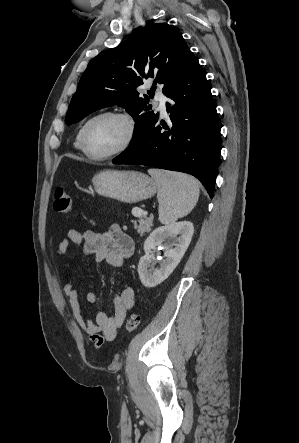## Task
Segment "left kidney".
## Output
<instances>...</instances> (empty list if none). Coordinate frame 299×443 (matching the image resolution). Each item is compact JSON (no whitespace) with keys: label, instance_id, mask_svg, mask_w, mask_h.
<instances>
[{"label":"left kidney","instance_id":"5707ae66","mask_svg":"<svg viewBox=\"0 0 299 443\" xmlns=\"http://www.w3.org/2000/svg\"><path fill=\"white\" fill-rule=\"evenodd\" d=\"M194 233L193 224L181 221L155 229L144 242L145 255L138 264V274L145 287H155L163 282L173 272L184 256ZM163 245L166 259L160 268L148 271L152 256L150 253L157 246Z\"/></svg>","mask_w":299,"mask_h":443}]
</instances>
